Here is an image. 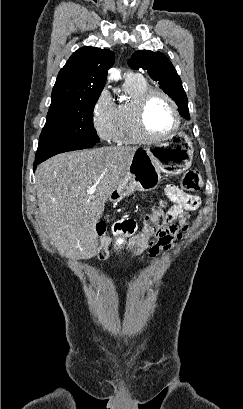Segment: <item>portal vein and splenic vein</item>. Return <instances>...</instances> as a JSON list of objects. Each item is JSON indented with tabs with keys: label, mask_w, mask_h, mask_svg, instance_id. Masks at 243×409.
Here are the masks:
<instances>
[{
	"label": "portal vein and splenic vein",
	"mask_w": 243,
	"mask_h": 409,
	"mask_svg": "<svg viewBox=\"0 0 243 409\" xmlns=\"http://www.w3.org/2000/svg\"><path fill=\"white\" fill-rule=\"evenodd\" d=\"M95 192H96L95 186L90 187V188H88V190H87V194H88L89 196H93V195L95 194Z\"/></svg>",
	"instance_id": "1"
}]
</instances>
